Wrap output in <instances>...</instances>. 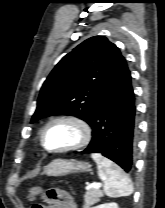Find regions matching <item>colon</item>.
<instances>
[{
	"label": "colon",
	"instance_id": "obj_1",
	"mask_svg": "<svg viewBox=\"0 0 165 208\" xmlns=\"http://www.w3.org/2000/svg\"><path fill=\"white\" fill-rule=\"evenodd\" d=\"M42 190L38 186L29 188L28 190V200H34L37 196L41 194Z\"/></svg>",
	"mask_w": 165,
	"mask_h": 208
}]
</instances>
